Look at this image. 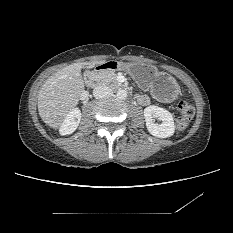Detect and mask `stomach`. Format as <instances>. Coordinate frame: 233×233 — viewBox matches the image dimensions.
I'll list each match as a JSON object with an SVG mask.
<instances>
[{"mask_svg": "<svg viewBox=\"0 0 233 233\" xmlns=\"http://www.w3.org/2000/svg\"><path fill=\"white\" fill-rule=\"evenodd\" d=\"M137 83L151 92L152 96L163 102L174 100L179 94V85L168 73L159 71L157 67L145 63L133 62L122 64Z\"/></svg>", "mask_w": 233, "mask_h": 233, "instance_id": "stomach-1", "label": "stomach"}]
</instances>
